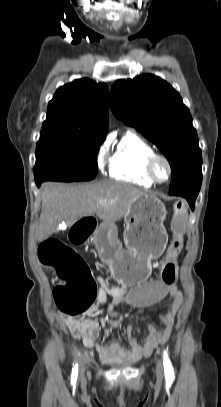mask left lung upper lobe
<instances>
[{"label": "left lung upper lobe", "mask_w": 221, "mask_h": 407, "mask_svg": "<svg viewBox=\"0 0 221 407\" xmlns=\"http://www.w3.org/2000/svg\"><path fill=\"white\" fill-rule=\"evenodd\" d=\"M110 107L126 125L140 131L168 159L172 180L169 191L202 174V154L192 117L179 93L152 74L118 80Z\"/></svg>", "instance_id": "1"}]
</instances>
